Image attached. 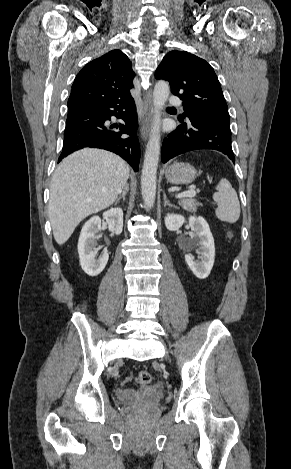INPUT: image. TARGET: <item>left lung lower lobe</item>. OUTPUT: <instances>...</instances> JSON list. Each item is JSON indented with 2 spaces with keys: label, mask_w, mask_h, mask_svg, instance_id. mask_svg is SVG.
Segmentation results:
<instances>
[{
  "label": "left lung lower lobe",
  "mask_w": 291,
  "mask_h": 469,
  "mask_svg": "<svg viewBox=\"0 0 291 469\" xmlns=\"http://www.w3.org/2000/svg\"><path fill=\"white\" fill-rule=\"evenodd\" d=\"M196 149H214L226 154L233 162L230 124L213 118L190 114L175 131L164 139L161 160Z\"/></svg>",
  "instance_id": "0a47b994"
}]
</instances>
